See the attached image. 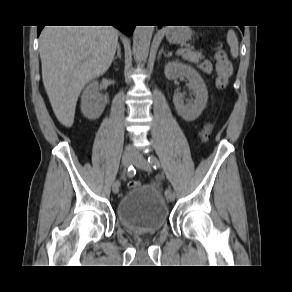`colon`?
<instances>
[{"instance_id":"5ec220e1","label":"colon","mask_w":292,"mask_h":292,"mask_svg":"<svg viewBox=\"0 0 292 292\" xmlns=\"http://www.w3.org/2000/svg\"><path fill=\"white\" fill-rule=\"evenodd\" d=\"M216 59V85L220 89H224L228 86L229 79L233 72V67L230 60L227 57V54L224 50L218 49L215 52ZM211 131V125L208 124L204 127L201 132L203 139H206ZM140 185V182L133 180L129 183L130 188H135Z\"/></svg>"}]
</instances>
